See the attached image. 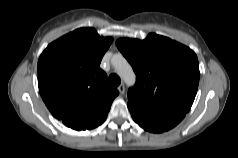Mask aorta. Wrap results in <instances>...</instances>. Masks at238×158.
<instances>
[{
    "instance_id": "762f6f07",
    "label": "aorta",
    "mask_w": 238,
    "mask_h": 158,
    "mask_svg": "<svg viewBox=\"0 0 238 158\" xmlns=\"http://www.w3.org/2000/svg\"><path fill=\"white\" fill-rule=\"evenodd\" d=\"M112 61L118 74L125 80V82L130 85L133 84L135 81V74L123 56L115 55L113 56Z\"/></svg>"
}]
</instances>
